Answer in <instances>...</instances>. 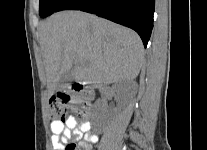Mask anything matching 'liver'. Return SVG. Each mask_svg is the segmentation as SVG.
I'll return each mask as SVG.
<instances>
[{
	"label": "liver",
	"mask_w": 207,
	"mask_h": 150,
	"mask_svg": "<svg viewBox=\"0 0 207 150\" xmlns=\"http://www.w3.org/2000/svg\"><path fill=\"white\" fill-rule=\"evenodd\" d=\"M40 45L52 96L63 74L96 87L135 79L143 63L136 32L81 11L53 14L40 26Z\"/></svg>",
	"instance_id": "6515ba94"
}]
</instances>
